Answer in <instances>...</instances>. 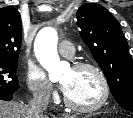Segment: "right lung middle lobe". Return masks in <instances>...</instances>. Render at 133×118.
<instances>
[{
	"instance_id": "dd1d6c3e",
	"label": "right lung middle lobe",
	"mask_w": 133,
	"mask_h": 118,
	"mask_svg": "<svg viewBox=\"0 0 133 118\" xmlns=\"http://www.w3.org/2000/svg\"><path fill=\"white\" fill-rule=\"evenodd\" d=\"M17 60L0 58V94H10L19 88Z\"/></svg>"
}]
</instances>
